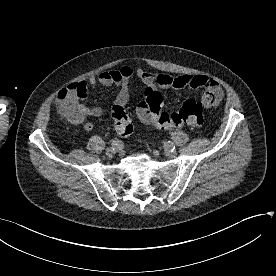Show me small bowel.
I'll list each match as a JSON object with an SVG mask.
<instances>
[{
	"label": "small bowel",
	"mask_w": 276,
	"mask_h": 276,
	"mask_svg": "<svg viewBox=\"0 0 276 276\" xmlns=\"http://www.w3.org/2000/svg\"><path fill=\"white\" fill-rule=\"evenodd\" d=\"M136 75L147 87L156 84L162 89H182L203 88L205 92L201 95V102L205 108H213L219 104L224 97V92L221 85L212 77L206 75H179L173 76L167 73L155 74L146 71L142 68L133 69L128 65H124L118 69L102 71L96 76L90 77L88 80H83L73 85L82 89L81 95L71 97L70 102L78 110V116L74 119H68L72 124L82 125L85 130H91L93 125L86 121L85 117H99L103 110L100 107H89L82 103L88 87H95L98 84L104 87L116 86L119 88L114 105L126 106L129 101V82L130 79ZM58 107L61 112V102L58 100ZM139 115V114H138ZM140 119L149 124L150 122L140 116Z\"/></svg>",
	"instance_id": "obj_1"
}]
</instances>
